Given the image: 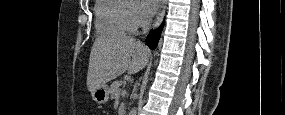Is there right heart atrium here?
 I'll list each match as a JSON object with an SVG mask.
<instances>
[{
    "label": "right heart atrium",
    "mask_w": 285,
    "mask_h": 115,
    "mask_svg": "<svg viewBox=\"0 0 285 115\" xmlns=\"http://www.w3.org/2000/svg\"><path fill=\"white\" fill-rule=\"evenodd\" d=\"M131 31H135L141 26H144L147 23V19L140 12H134L131 14Z\"/></svg>",
    "instance_id": "right-heart-atrium-1"
}]
</instances>
